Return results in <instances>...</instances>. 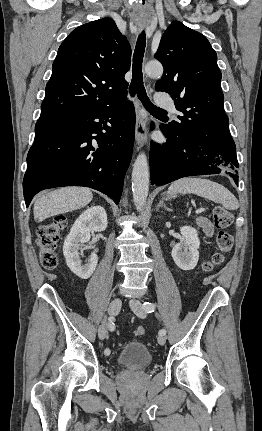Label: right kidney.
Returning <instances> with one entry per match:
<instances>
[{"label": "right kidney", "instance_id": "ca27d5eb", "mask_svg": "<svg viewBox=\"0 0 262 431\" xmlns=\"http://www.w3.org/2000/svg\"><path fill=\"white\" fill-rule=\"evenodd\" d=\"M107 228V214L103 207L93 206L85 210L74 222L65 238L63 254L69 269L82 279H88L96 269L98 256L93 252L82 264L79 250L90 240V232H101Z\"/></svg>", "mask_w": 262, "mask_h": 431}]
</instances>
